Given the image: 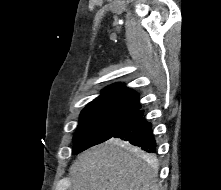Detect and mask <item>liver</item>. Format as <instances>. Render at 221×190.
Masks as SVG:
<instances>
[{"instance_id":"obj_1","label":"liver","mask_w":221,"mask_h":190,"mask_svg":"<svg viewBox=\"0 0 221 190\" xmlns=\"http://www.w3.org/2000/svg\"><path fill=\"white\" fill-rule=\"evenodd\" d=\"M70 175L71 190H159L154 158L115 139L81 153Z\"/></svg>"}]
</instances>
